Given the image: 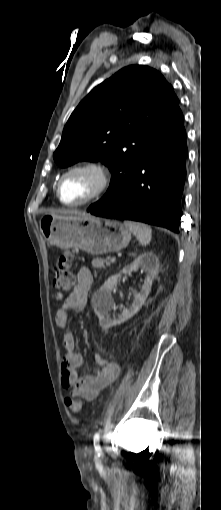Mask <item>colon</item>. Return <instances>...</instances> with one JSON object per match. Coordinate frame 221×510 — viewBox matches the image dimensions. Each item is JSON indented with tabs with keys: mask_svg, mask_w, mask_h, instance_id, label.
I'll return each instance as SVG.
<instances>
[{
	"mask_svg": "<svg viewBox=\"0 0 221 510\" xmlns=\"http://www.w3.org/2000/svg\"><path fill=\"white\" fill-rule=\"evenodd\" d=\"M74 254L71 251L59 256L53 265L54 279L53 284L58 291L59 296L68 293L74 284V277L72 274V261ZM66 405L73 412H80L83 407V402L80 398H66Z\"/></svg>",
	"mask_w": 221,
	"mask_h": 510,
	"instance_id": "obj_1",
	"label": "colon"
}]
</instances>
